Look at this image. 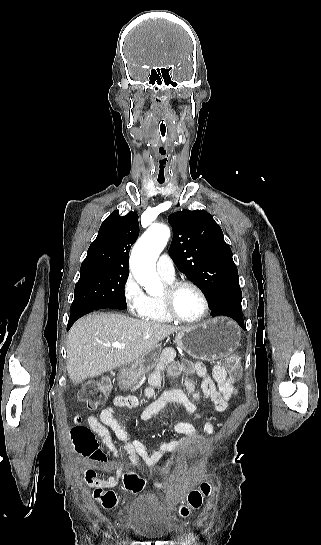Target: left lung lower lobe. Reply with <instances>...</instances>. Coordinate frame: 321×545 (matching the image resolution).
I'll list each match as a JSON object with an SVG mask.
<instances>
[{
    "instance_id": "obj_1",
    "label": "left lung lower lobe",
    "mask_w": 321,
    "mask_h": 545,
    "mask_svg": "<svg viewBox=\"0 0 321 545\" xmlns=\"http://www.w3.org/2000/svg\"><path fill=\"white\" fill-rule=\"evenodd\" d=\"M241 297L242 294L240 290L226 294L217 302L210 304L212 316L224 315L231 317L244 329Z\"/></svg>"
}]
</instances>
